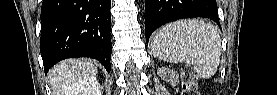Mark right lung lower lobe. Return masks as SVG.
Masks as SVG:
<instances>
[{"instance_id": "98d812e1", "label": "right lung lower lobe", "mask_w": 277, "mask_h": 95, "mask_svg": "<svg viewBox=\"0 0 277 95\" xmlns=\"http://www.w3.org/2000/svg\"><path fill=\"white\" fill-rule=\"evenodd\" d=\"M111 0H43L40 52L45 73L57 62L90 57L110 72Z\"/></svg>"}]
</instances>
